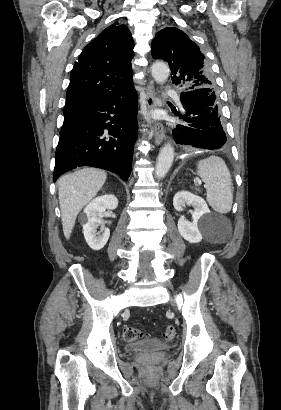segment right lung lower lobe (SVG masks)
I'll use <instances>...</instances> for the list:
<instances>
[{
  "instance_id": "right-lung-lower-lobe-1",
  "label": "right lung lower lobe",
  "mask_w": 281,
  "mask_h": 410,
  "mask_svg": "<svg viewBox=\"0 0 281 410\" xmlns=\"http://www.w3.org/2000/svg\"><path fill=\"white\" fill-rule=\"evenodd\" d=\"M134 86L106 96L64 119L56 150L53 180L81 166L106 169L128 180L137 139Z\"/></svg>"
}]
</instances>
